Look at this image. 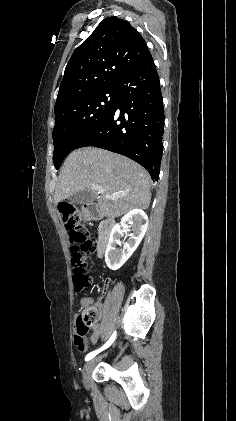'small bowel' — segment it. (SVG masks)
Returning a JSON list of instances; mask_svg holds the SVG:
<instances>
[{
  "instance_id": "small-bowel-1",
  "label": "small bowel",
  "mask_w": 236,
  "mask_h": 421,
  "mask_svg": "<svg viewBox=\"0 0 236 421\" xmlns=\"http://www.w3.org/2000/svg\"><path fill=\"white\" fill-rule=\"evenodd\" d=\"M87 303H91L89 300H86V299H84L83 301H82V304H87ZM94 305L96 306V308L99 310V312L102 314V315H104V308H103V306L100 304V303H98V302H96V303H94ZM103 325H102V323H100V324H97V325H95L94 326V328H93V333H92V335H91V341L93 342V338L95 337V335H96V333L98 332V330L102 327Z\"/></svg>"
}]
</instances>
